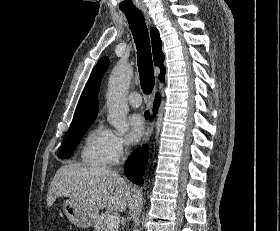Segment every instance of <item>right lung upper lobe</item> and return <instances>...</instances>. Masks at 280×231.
I'll return each mask as SVG.
<instances>
[{
  "mask_svg": "<svg viewBox=\"0 0 280 231\" xmlns=\"http://www.w3.org/2000/svg\"><path fill=\"white\" fill-rule=\"evenodd\" d=\"M151 41L154 56V63L159 66L161 73L159 79L164 81L165 67L163 65L164 55L161 50L162 42L157 29H151ZM109 64L107 57L101 58L97 65L93 68L91 76L82 92L78 102L71 127L77 126L86 122L94 121L98 113L97 94L100 87L102 75L106 71Z\"/></svg>",
  "mask_w": 280,
  "mask_h": 231,
  "instance_id": "obj_1",
  "label": "right lung upper lobe"
}]
</instances>
